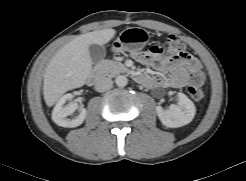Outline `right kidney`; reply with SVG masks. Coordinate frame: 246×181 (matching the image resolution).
Segmentation results:
<instances>
[{"label": "right kidney", "mask_w": 246, "mask_h": 181, "mask_svg": "<svg viewBox=\"0 0 246 181\" xmlns=\"http://www.w3.org/2000/svg\"><path fill=\"white\" fill-rule=\"evenodd\" d=\"M71 97L72 94H66L62 96L58 100L56 106L52 111V120L54 121V123H56L59 126L68 127V128L77 127L81 125L86 118V109L84 108L80 110V114L77 117L73 119L66 118L67 116L75 112L76 109H78L77 103H73L66 106L64 105L66 101Z\"/></svg>", "instance_id": "obj_1"}]
</instances>
